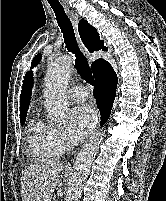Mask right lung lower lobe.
Listing matches in <instances>:
<instances>
[{
  "label": "right lung lower lobe",
  "instance_id": "obj_1",
  "mask_svg": "<svg viewBox=\"0 0 166 201\" xmlns=\"http://www.w3.org/2000/svg\"><path fill=\"white\" fill-rule=\"evenodd\" d=\"M97 82V87L94 90L97 106L101 114V123H106L108 120L113 102L116 96V87L118 78L112 66L108 62L102 63L100 68L94 73Z\"/></svg>",
  "mask_w": 166,
  "mask_h": 201
}]
</instances>
